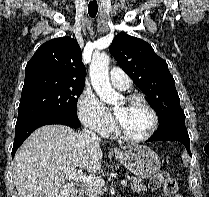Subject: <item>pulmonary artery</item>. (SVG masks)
<instances>
[{
  "label": "pulmonary artery",
  "instance_id": "obj_1",
  "mask_svg": "<svg viewBox=\"0 0 209 197\" xmlns=\"http://www.w3.org/2000/svg\"><path fill=\"white\" fill-rule=\"evenodd\" d=\"M110 80L112 85L119 90H127L131 85L129 76L117 67L110 70Z\"/></svg>",
  "mask_w": 209,
  "mask_h": 197
}]
</instances>
